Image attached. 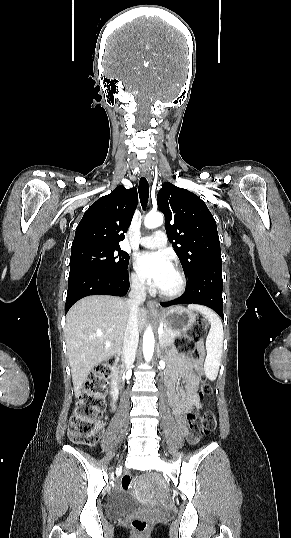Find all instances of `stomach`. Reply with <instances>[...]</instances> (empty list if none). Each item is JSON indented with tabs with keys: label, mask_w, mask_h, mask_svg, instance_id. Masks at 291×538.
<instances>
[{
	"label": "stomach",
	"mask_w": 291,
	"mask_h": 538,
	"mask_svg": "<svg viewBox=\"0 0 291 538\" xmlns=\"http://www.w3.org/2000/svg\"><path fill=\"white\" fill-rule=\"evenodd\" d=\"M160 322L165 328L175 332H185L195 322L196 315L186 308L177 306L159 315Z\"/></svg>",
	"instance_id": "obj_1"
}]
</instances>
